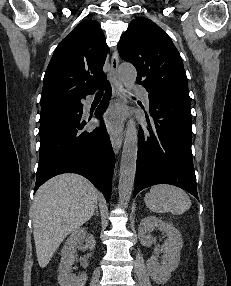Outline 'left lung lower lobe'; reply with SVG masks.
Here are the masks:
<instances>
[{
    "label": "left lung lower lobe",
    "mask_w": 231,
    "mask_h": 286,
    "mask_svg": "<svg viewBox=\"0 0 231 286\" xmlns=\"http://www.w3.org/2000/svg\"><path fill=\"white\" fill-rule=\"evenodd\" d=\"M151 125L139 129L134 196L155 184L180 187L198 199L191 154L190 102L149 93Z\"/></svg>",
    "instance_id": "1"
}]
</instances>
